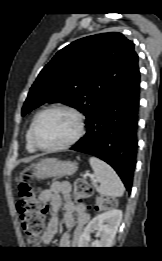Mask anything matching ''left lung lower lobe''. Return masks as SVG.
Listing matches in <instances>:
<instances>
[{"label":"left lung lower lobe","instance_id":"left-lung-lower-lobe-1","mask_svg":"<svg viewBox=\"0 0 162 261\" xmlns=\"http://www.w3.org/2000/svg\"><path fill=\"white\" fill-rule=\"evenodd\" d=\"M139 93L138 69L95 108L87 133L71 147L111 165L128 191L136 164Z\"/></svg>","mask_w":162,"mask_h":261}]
</instances>
